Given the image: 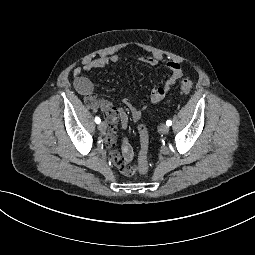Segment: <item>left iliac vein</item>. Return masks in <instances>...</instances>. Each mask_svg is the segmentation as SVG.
Listing matches in <instances>:
<instances>
[{
    "label": "left iliac vein",
    "instance_id": "left-iliac-vein-1",
    "mask_svg": "<svg viewBox=\"0 0 255 255\" xmlns=\"http://www.w3.org/2000/svg\"><path fill=\"white\" fill-rule=\"evenodd\" d=\"M160 132L163 134H167L169 132V126L166 124H162L159 128Z\"/></svg>",
    "mask_w": 255,
    "mask_h": 255
}]
</instances>
